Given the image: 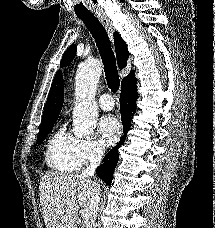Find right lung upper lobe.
Returning a JSON list of instances; mask_svg holds the SVG:
<instances>
[{
	"mask_svg": "<svg viewBox=\"0 0 215 228\" xmlns=\"http://www.w3.org/2000/svg\"><path fill=\"white\" fill-rule=\"evenodd\" d=\"M115 51L117 62L120 69L126 67L129 52L127 45L118 33L114 34ZM134 72L131 71L130 74ZM129 74V75H130ZM64 99L63 79L60 72H57L53 84L51 86L48 99L44 108L41 124L55 122L61 111Z\"/></svg>",
	"mask_w": 215,
	"mask_h": 228,
	"instance_id": "obj_1",
	"label": "right lung upper lobe"
}]
</instances>
